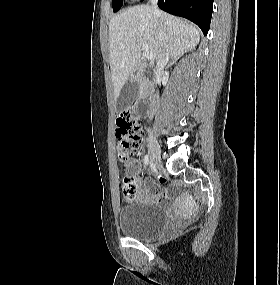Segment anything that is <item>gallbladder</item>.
<instances>
[{"label": "gallbladder", "mask_w": 280, "mask_h": 285, "mask_svg": "<svg viewBox=\"0 0 280 285\" xmlns=\"http://www.w3.org/2000/svg\"><path fill=\"white\" fill-rule=\"evenodd\" d=\"M138 94L139 82L137 80H128L116 100V111L119 113L125 111L137 99Z\"/></svg>", "instance_id": "bac80fb5"}]
</instances>
